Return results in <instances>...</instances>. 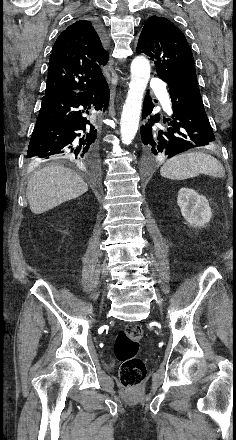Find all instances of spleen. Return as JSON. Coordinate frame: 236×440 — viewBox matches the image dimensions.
Wrapping results in <instances>:
<instances>
[{
    "label": "spleen",
    "instance_id": "spleen-1",
    "mask_svg": "<svg viewBox=\"0 0 236 440\" xmlns=\"http://www.w3.org/2000/svg\"><path fill=\"white\" fill-rule=\"evenodd\" d=\"M164 178L184 180L206 174L220 178L225 175L223 165L212 155L203 152H189L167 160L160 168Z\"/></svg>",
    "mask_w": 236,
    "mask_h": 440
}]
</instances>
